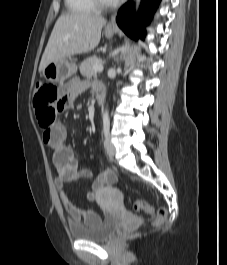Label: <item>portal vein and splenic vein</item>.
Segmentation results:
<instances>
[{
	"label": "portal vein and splenic vein",
	"instance_id": "portal-vein-and-splenic-vein-1",
	"mask_svg": "<svg viewBox=\"0 0 227 265\" xmlns=\"http://www.w3.org/2000/svg\"><path fill=\"white\" fill-rule=\"evenodd\" d=\"M103 69H104L103 65H95V66L93 67V70H94L95 72L103 71Z\"/></svg>",
	"mask_w": 227,
	"mask_h": 265
}]
</instances>
